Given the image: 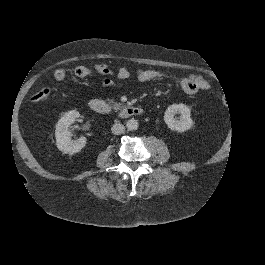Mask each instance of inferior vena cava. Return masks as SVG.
I'll return each instance as SVG.
<instances>
[{
	"label": "inferior vena cava",
	"mask_w": 265,
	"mask_h": 265,
	"mask_svg": "<svg viewBox=\"0 0 265 265\" xmlns=\"http://www.w3.org/2000/svg\"><path fill=\"white\" fill-rule=\"evenodd\" d=\"M112 133L115 135H119L125 132V127L124 125L120 124V123H115L112 128Z\"/></svg>",
	"instance_id": "inferior-vena-cava-1"
}]
</instances>
